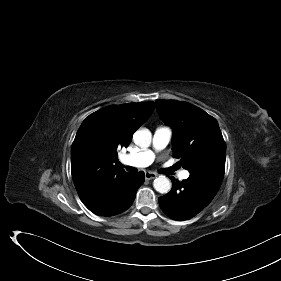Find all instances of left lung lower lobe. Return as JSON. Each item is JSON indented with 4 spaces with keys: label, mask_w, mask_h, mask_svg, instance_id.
<instances>
[{
    "label": "left lung lower lobe",
    "mask_w": 281,
    "mask_h": 281,
    "mask_svg": "<svg viewBox=\"0 0 281 281\" xmlns=\"http://www.w3.org/2000/svg\"><path fill=\"white\" fill-rule=\"evenodd\" d=\"M172 180V190L159 198L163 212L174 220H187L202 211L215 197L221 183L190 174L182 182Z\"/></svg>",
    "instance_id": "0a47b994"
}]
</instances>
